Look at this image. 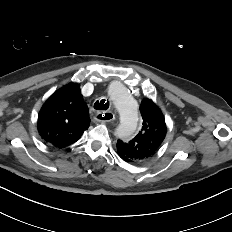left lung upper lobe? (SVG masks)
Returning a JSON list of instances; mask_svg holds the SVG:
<instances>
[{
	"label": "left lung upper lobe",
	"instance_id": "1",
	"mask_svg": "<svg viewBox=\"0 0 232 232\" xmlns=\"http://www.w3.org/2000/svg\"><path fill=\"white\" fill-rule=\"evenodd\" d=\"M143 119L139 133L129 142L117 141L118 154L131 163H143L150 159L161 146L166 135L162 112L150 99L140 105Z\"/></svg>",
	"mask_w": 232,
	"mask_h": 232
}]
</instances>
